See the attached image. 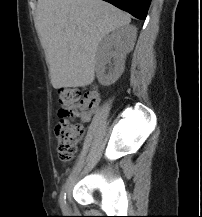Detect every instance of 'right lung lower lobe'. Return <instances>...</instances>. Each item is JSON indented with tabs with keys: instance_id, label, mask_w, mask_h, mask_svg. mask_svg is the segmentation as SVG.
Instances as JSON below:
<instances>
[{
	"instance_id": "98d812e1",
	"label": "right lung lower lobe",
	"mask_w": 202,
	"mask_h": 217,
	"mask_svg": "<svg viewBox=\"0 0 202 217\" xmlns=\"http://www.w3.org/2000/svg\"><path fill=\"white\" fill-rule=\"evenodd\" d=\"M129 12L134 17L145 20L151 0H104Z\"/></svg>"
}]
</instances>
